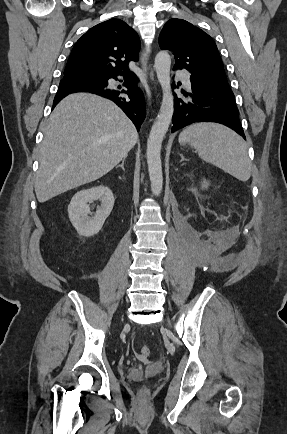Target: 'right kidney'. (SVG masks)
<instances>
[{
  "label": "right kidney",
  "mask_w": 287,
  "mask_h": 434,
  "mask_svg": "<svg viewBox=\"0 0 287 434\" xmlns=\"http://www.w3.org/2000/svg\"><path fill=\"white\" fill-rule=\"evenodd\" d=\"M101 201L95 214L91 217L88 203ZM112 191L103 185L77 192L68 206V215L72 225L81 236L90 237L97 234L114 206Z\"/></svg>",
  "instance_id": "1"
}]
</instances>
